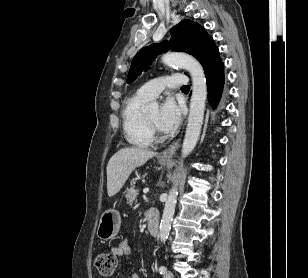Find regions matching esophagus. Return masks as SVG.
I'll list each match as a JSON object with an SVG mask.
<instances>
[{
	"label": "esophagus",
	"mask_w": 308,
	"mask_h": 278,
	"mask_svg": "<svg viewBox=\"0 0 308 278\" xmlns=\"http://www.w3.org/2000/svg\"><path fill=\"white\" fill-rule=\"evenodd\" d=\"M180 140H181V137H179L178 139H176L170 146L169 148H167L166 150H164L160 156H159V159L162 160V161H170L173 159L178 147H179V144H180Z\"/></svg>",
	"instance_id": "1"
}]
</instances>
